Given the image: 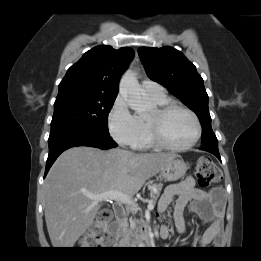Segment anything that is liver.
Instances as JSON below:
<instances>
[{"mask_svg":"<svg viewBox=\"0 0 261 261\" xmlns=\"http://www.w3.org/2000/svg\"><path fill=\"white\" fill-rule=\"evenodd\" d=\"M174 157L86 146L63 152L43 185L45 220L53 247L72 248L93 224L101 201L92 200L87 194L117 190L134 195Z\"/></svg>","mask_w":261,"mask_h":261,"instance_id":"obj_1","label":"liver"}]
</instances>
